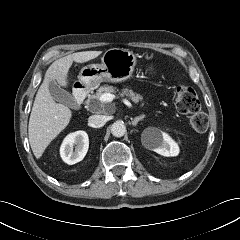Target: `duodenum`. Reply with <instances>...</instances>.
Returning a JSON list of instances; mask_svg holds the SVG:
<instances>
[{"label":"duodenum","mask_w":240,"mask_h":240,"mask_svg":"<svg viewBox=\"0 0 240 240\" xmlns=\"http://www.w3.org/2000/svg\"><path fill=\"white\" fill-rule=\"evenodd\" d=\"M73 93H74V97H75L76 101L78 103H82L86 98L87 92H86V89L82 85L76 84Z\"/></svg>","instance_id":"duodenum-1"}]
</instances>
